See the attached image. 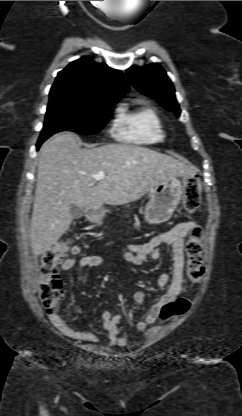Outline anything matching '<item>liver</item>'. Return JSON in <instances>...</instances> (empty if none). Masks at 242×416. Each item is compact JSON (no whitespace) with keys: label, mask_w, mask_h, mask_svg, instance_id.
Returning <instances> with one entry per match:
<instances>
[{"label":"liver","mask_w":242,"mask_h":416,"mask_svg":"<svg viewBox=\"0 0 242 416\" xmlns=\"http://www.w3.org/2000/svg\"><path fill=\"white\" fill-rule=\"evenodd\" d=\"M80 138L63 132L40 148L30 238L34 256L48 251L69 229L70 207L100 209L103 204L137 201L161 181L193 177L181 161L132 144L81 148ZM104 172L105 178L93 175Z\"/></svg>","instance_id":"obj_1"}]
</instances>
